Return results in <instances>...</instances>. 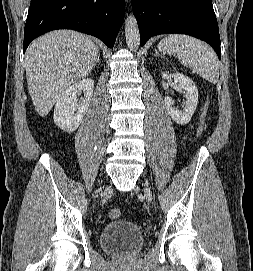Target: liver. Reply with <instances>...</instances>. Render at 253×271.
Wrapping results in <instances>:
<instances>
[{
    "label": "liver",
    "mask_w": 253,
    "mask_h": 271,
    "mask_svg": "<svg viewBox=\"0 0 253 271\" xmlns=\"http://www.w3.org/2000/svg\"><path fill=\"white\" fill-rule=\"evenodd\" d=\"M99 48L86 35L56 30L35 39L25 55L28 90L36 111L46 116L62 93L92 71Z\"/></svg>",
    "instance_id": "1"
}]
</instances>
